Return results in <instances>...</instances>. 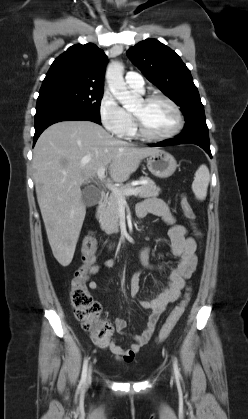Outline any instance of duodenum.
Returning a JSON list of instances; mask_svg holds the SVG:
<instances>
[{
	"label": "duodenum",
	"mask_w": 248,
	"mask_h": 419,
	"mask_svg": "<svg viewBox=\"0 0 248 419\" xmlns=\"http://www.w3.org/2000/svg\"><path fill=\"white\" fill-rule=\"evenodd\" d=\"M106 199H107V192L102 190L100 191V198H99V207H103L106 203ZM139 210L137 211V214L139 215ZM140 216V215H139Z\"/></svg>",
	"instance_id": "410a0bca"
}]
</instances>
